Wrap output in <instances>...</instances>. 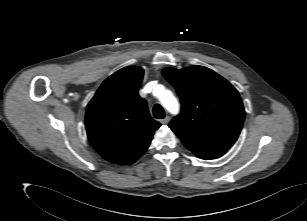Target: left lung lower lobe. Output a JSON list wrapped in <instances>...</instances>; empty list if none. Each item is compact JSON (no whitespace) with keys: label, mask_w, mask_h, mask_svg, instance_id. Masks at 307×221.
I'll use <instances>...</instances> for the list:
<instances>
[{"label":"left lung lower lobe","mask_w":307,"mask_h":221,"mask_svg":"<svg viewBox=\"0 0 307 221\" xmlns=\"http://www.w3.org/2000/svg\"><path fill=\"white\" fill-rule=\"evenodd\" d=\"M184 145L189 150H191L196 156L204 160L219 158L227 152L226 149L208 148V147L191 144V143H186Z\"/></svg>","instance_id":"left-lung-lower-lobe-1"}]
</instances>
